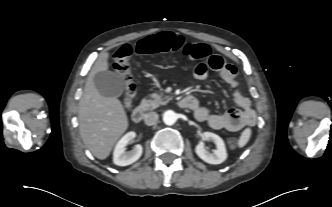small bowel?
I'll return each instance as SVG.
<instances>
[{
    "label": "small bowel",
    "mask_w": 332,
    "mask_h": 207,
    "mask_svg": "<svg viewBox=\"0 0 332 207\" xmlns=\"http://www.w3.org/2000/svg\"><path fill=\"white\" fill-rule=\"evenodd\" d=\"M210 71H214L229 84L233 91V98L239 109H229L222 114L212 112L195 99L190 108L197 120L207 123L215 130L238 131L246 126L254 125L256 114L251 108L250 100L243 94L241 84L237 80V69L228 64L218 55L210 58L206 63H199L193 70L194 77L200 81L207 80Z\"/></svg>",
    "instance_id": "small-bowel-1"
}]
</instances>
